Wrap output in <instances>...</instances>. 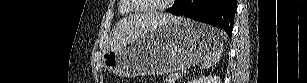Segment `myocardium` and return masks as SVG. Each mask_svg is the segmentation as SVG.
I'll use <instances>...</instances> for the list:
<instances>
[{"instance_id": "f54148a6", "label": "myocardium", "mask_w": 307, "mask_h": 83, "mask_svg": "<svg viewBox=\"0 0 307 83\" xmlns=\"http://www.w3.org/2000/svg\"><path fill=\"white\" fill-rule=\"evenodd\" d=\"M129 3V6L133 11L139 12V13H157L162 12L167 8V4L174 2V0H165V2L160 3L158 6H152V7H141L139 4H136L134 0H126Z\"/></svg>"}]
</instances>
